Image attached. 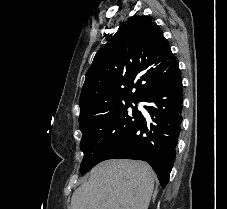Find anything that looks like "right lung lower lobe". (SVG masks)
<instances>
[{
  "instance_id": "right-lung-lower-lobe-1",
  "label": "right lung lower lobe",
  "mask_w": 227,
  "mask_h": 209,
  "mask_svg": "<svg viewBox=\"0 0 227 209\" xmlns=\"http://www.w3.org/2000/svg\"><path fill=\"white\" fill-rule=\"evenodd\" d=\"M153 73L167 74L165 82L152 90L143 100L150 103L144 108L153 123L140 119L102 158L139 159L147 161L154 169L162 188L168 183L175 158L182 122V80L178 63L172 66H157Z\"/></svg>"
}]
</instances>
